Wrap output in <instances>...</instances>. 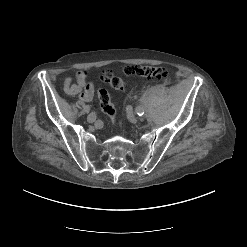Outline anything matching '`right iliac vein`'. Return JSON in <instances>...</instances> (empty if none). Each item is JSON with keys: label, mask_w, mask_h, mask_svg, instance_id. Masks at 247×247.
<instances>
[{"label": "right iliac vein", "mask_w": 247, "mask_h": 247, "mask_svg": "<svg viewBox=\"0 0 247 247\" xmlns=\"http://www.w3.org/2000/svg\"><path fill=\"white\" fill-rule=\"evenodd\" d=\"M97 110H92V112L88 115V117H87V121L89 122V123H93L94 121H95V118H96V116H97Z\"/></svg>", "instance_id": "obj_1"}]
</instances>
